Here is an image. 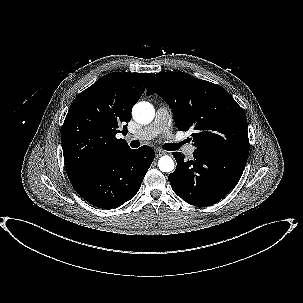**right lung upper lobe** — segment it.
I'll return each instance as SVG.
<instances>
[{
    "mask_svg": "<svg viewBox=\"0 0 303 303\" xmlns=\"http://www.w3.org/2000/svg\"><path fill=\"white\" fill-rule=\"evenodd\" d=\"M154 73L113 72L81 92L62 126L65 169L70 182L131 150L117 133L127 134L131 110ZM124 125L123 131L120 126Z\"/></svg>",
    "mask_w": 303,
    "mask_h": 303,
    "instance_id": "obj_1",
    "label": "right lung upper lobe"
}]
</instances>
